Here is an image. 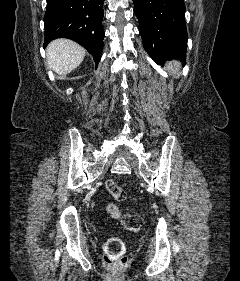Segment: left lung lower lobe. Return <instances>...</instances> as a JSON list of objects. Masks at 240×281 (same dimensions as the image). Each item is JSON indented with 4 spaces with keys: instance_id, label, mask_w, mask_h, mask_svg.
<instances>
[{
    "instance_id": "left-lung-lower-lobe-1",
    "label": "left lung lower lobe",
    "mask_w": 240,
    "mask_h": 281,
    "mask_svg": "<svg viewBox=\"0 0 240 281\" xmlns=\"http://www.w3.org/2000/svg\"><path fill=\"white\" fill-rule=\"evenodd\" d=\"M143 46L156 63L185 62L187 32L183 0H133Z\"/></svg>"
}]
</instances>
